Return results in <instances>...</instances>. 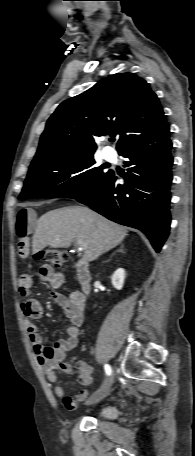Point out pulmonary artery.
Listing matches in <instances>:
<instances>
[{
	"label": "pulmonary artery",
	"mask_w": 195,
	"mask_h": 456,
	"mask_svg": "<svg viewBox=\"0 0 195 456\" xmlns=\"http://www.w3.org/2000/svg\"><path fill=\"white\" fill-rule=\"evenodd\" d=\"M103 156L107 160H112L114 158V151L110 147H105L103 149Z\"/></svg>",
	"instance_id": "1"
}]
</instances>
